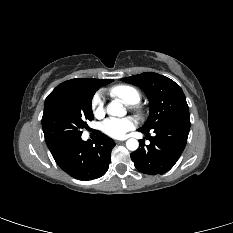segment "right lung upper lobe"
<instances>
[{
  "label": "right lung upper lobe",
  "instance_id": "1",
  "mask_svg": "<svg viewBox=\"0 0 233 233\" xmlns=\"http://www.w3.org/2000/svg\"><path fill=\"white\" fill-rule=\"evenodd\" d=\"M112 79H81L76 78L72 80L65 81L59 84L46 98L44 109L57 97L62 96L64 94H68L75 90L83 89V88H100L102 85H106Z\"/></svg>",
  "mask_w": 233,
  "mask_h": 233
}]
</instances>
